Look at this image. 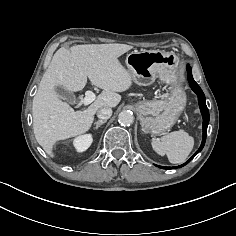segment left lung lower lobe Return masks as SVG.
Listing matches in <instances>:
<instances>
[{"mask_svg":"<svg viewBox=\"0 0 236 236\" xmlns=\"http://www.w3.org/2000/svg\"><path fill=\"white\" fill-rule=\"evenodd\" d=\"M186 69H187V72H188L189 85H190L191 89L198 96L199 107H200V110H201V113H202V116H203V139H202V143H201L199 149L195 152V154L187 162H185L183 165L176 166V167L158 166V167L163 168V169L180 168V167L186 165L203 149V147L205 145V141H206L207 127H208V123H209V111H208V108L206 106L205 95H204L203 91L201 90V88L199 87V85L194 81L192 73H191V67L189 65H187Z\"/></svg>","mask_w":236,"mask_h":236,"instance_id":"left-lung-lower-lobe-1","label":"left lung lower lobe"}]
</instances>
